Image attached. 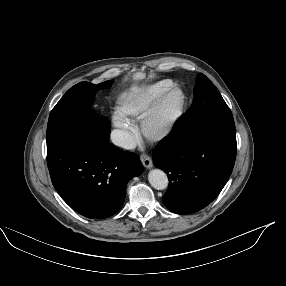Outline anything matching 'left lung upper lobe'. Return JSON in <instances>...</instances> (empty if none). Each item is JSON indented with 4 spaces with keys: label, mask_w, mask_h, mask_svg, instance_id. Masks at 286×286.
<instances>
[{
    "label": "left lung upper lobe",
    "mask_w": 286,
    "mask_h": 286,
    "mask_svg": "<svg viewBox=\"0 0 286 286\" xmlns=\"http://www.w3.org/2000/svg\"><path fill=\"white\" fill-rule=\"evenodd\" d=\"M210 128L235 129V124L231 110L218 89L200 73L195 81L193 104L174 132L187 135Z\"/></svg>",
    "instance_id": "obj_1"
}]
</instances>
